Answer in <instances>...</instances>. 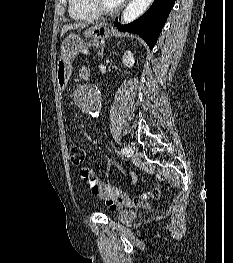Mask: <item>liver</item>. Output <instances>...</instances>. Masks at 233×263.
Masks as SVG:
<instances>
[{
    "mask_svg": "<svg viewBox=\"0 0 233 263\" xmlns=\"http://www.w3.org/2000/svg\"><path fill=\"white\" fill-rule=\"evenodd\" d=\"M88 25L83 23H74L69 25H64L61 30V36H63L67 31L73 30V29H83L86 28Z\"/></svg>",
    "mask_w": 233,
    "mask_h": 263,
    "instance_id": "obj_1",
    "label": "liver"
}]
</instances>
